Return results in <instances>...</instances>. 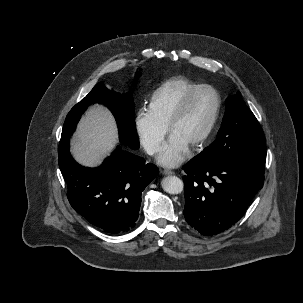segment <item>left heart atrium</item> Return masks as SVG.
I'll return each mask as SVG.
<instances>
[{"label":"left heart atrium","instance_id":"1","mask_svg":"<svg viewBox=\"0 0 303 303\" xmlns=\"http://www.w3.org/2000/svg\"><path fill=\"white\" fill-rule=\"evenodd\" d=\"M190 146L179 135L171 133L158 156V163L165 167H177L187 157Z\"/></svg>","mask_w":303,"mask_h":303}]
</instances>
